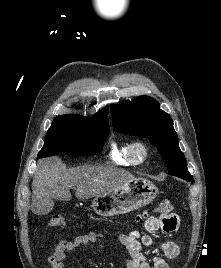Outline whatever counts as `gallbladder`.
<instances>
[{
    "instance_id": "gallbladder-1",
    "label": "gallbladder",
    "mask_w": 221,
    "mask_h": 268,
    "mask_svg": "<svg viewBox=\"0 0 221 268\" xmlns=\"http://www.w3.org/2000/svg\"><path fill=\"white\" fill-rule=\"evenodd\" d=\"M54 207V202L51 199H35L32 202L31 210L36 213L37 217H44L45 213H50Z\"/></svg>"
}]
</instances>
